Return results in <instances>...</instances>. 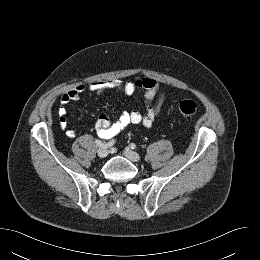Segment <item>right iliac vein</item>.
Masks as SVG:
<instances>
[{"label": "right iliac vein", "instance_id": "1", "mask_svg": "<svg viewBox=\"0 0 260 260\" xmlns=\"http://www.w3.org/2000/svg\"><path fill=\"white\" fill-rule=\"evenodd\" d=\"M97 154L100 158H104L108 155V150L106 148H99Z\"/></svg>", "mask_w": 260, "mask_h": 260}]
</instances>
